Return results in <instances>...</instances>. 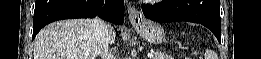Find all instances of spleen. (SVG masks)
<instances>
[{
	"mask_svg": "<svg viewBox=\"0 0 261 59\" xmlns=\"http://www.w3.org/2000/svg\"><path fill=\"white\" fill-rule=\"evenodd\" d=\"M210 56H211V51H206L205 59H209Z\"/></svg>",
	"mask_w": 261,
	"mask_h": 59,
	"instance_id": "spleen-1",
	"label": "spleen"
}]
</instances>
